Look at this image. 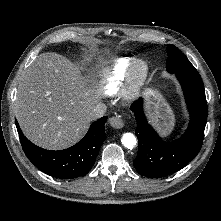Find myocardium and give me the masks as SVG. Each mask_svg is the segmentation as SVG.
I'll return each mask as SVG.
<instances>
[{
	"mask_svg": "<svg viewBox=\"0 0 221 221\" xmlns=\"http://www.w3.org/2000/svg\"><path fill=\"white\" fill-rule=\"evenodd\" d=\"M149 72V65L146 61L135 59L132 62L124 82L125 99H134L139 94L149 76Z\"/></svg>",
	"mask_w": 221,
	"mask_h": 221,
	"instance_id": "1",
	"label": "myocardium"
}]
</instances>
